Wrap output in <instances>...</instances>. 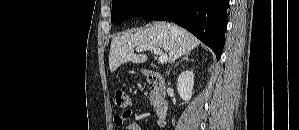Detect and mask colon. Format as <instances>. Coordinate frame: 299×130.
Wrapping results in <instances>:
<instances>
[{"label": "colon", "mask_w": 299, "mask_h": 130, "mask_svg": "<svg viewBox=\"0 0 299 130\" xmlns=\"http://www.w3.org/2000/svg\"><path fill=\"white\" fill-rule=\"evenodd\" d=\"M115 103L117 107L121 109H126L130 105V97L128 93L124 90H117L115 92Z\"/></svg>", "instance_id": "colon-1"}]
</instances>
